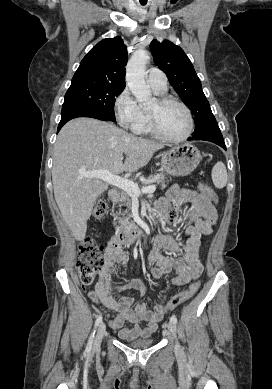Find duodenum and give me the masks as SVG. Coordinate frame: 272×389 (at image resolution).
<instances>
[{
    "label": "duodenum",
    "instance_id": "410a0bca",
    "mask_svg": "<svg viewBox=\"0 0 272 389\" xmlns=\"http://www.w3.org/2000/svg\"><path fill=\"white\" fill-rule=\"evenodd\" d=\"M109 197L113 202L119 200V193L116 190L109 191ZM147 231L143 227L132 226L128 228H117L113 238L120 244H134L140 240L147 238Z\"/></svg>",
    "mask_w": 272,
    "mask_h": 389
}]
</instances>
